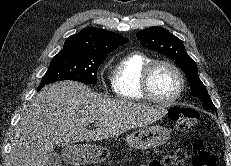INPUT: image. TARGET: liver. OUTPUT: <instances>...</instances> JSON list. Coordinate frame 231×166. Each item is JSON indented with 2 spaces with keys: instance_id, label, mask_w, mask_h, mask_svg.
I'll list each match as a JSON object with an SVG mask.
<instances>
[{
  "instance_id": "liver-1",
  "label": "liver",
  "mask_w": 231,
  "mask_h": 166,
  "mask_svg": "<svg viewBox=\"0 0 231 166\" xmlns=\"http://www.w3.org/2000/svg\"><path fill=\"white\" fill-rule=\"evenodd\" d=\"M165 107L114 100L73 81L47 85L33 99L11 142L13 166H46L55 145L104 140L163 118ZM95 130H88L89 125Z\"/></svg>"
}]
</instances>
